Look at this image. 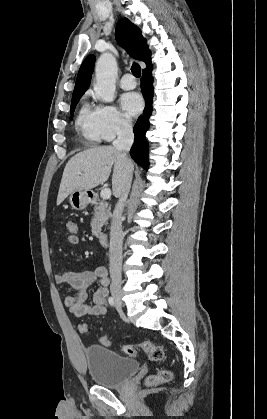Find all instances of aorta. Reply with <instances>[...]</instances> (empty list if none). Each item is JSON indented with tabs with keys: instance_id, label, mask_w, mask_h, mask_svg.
I'll return each mask as SVG.
<instances>
[{
	"instance_id": "aorta-1",
	"label": "aorta",
	"mask_w": 267,
	"mask_h": 419,
	"mask_svg": "<svg viewBox=\"0 0 267 419\" xmlns=\"http://www.w3.org/2000/svg\"><path fill=\"white\" fill-rule=\"evenodd\" d=\"M95 91L104 102H113L115 98V79L117 63L111 53H103L97 60Z\"/></svg>"
}]
</instances>
